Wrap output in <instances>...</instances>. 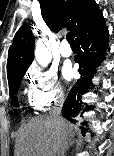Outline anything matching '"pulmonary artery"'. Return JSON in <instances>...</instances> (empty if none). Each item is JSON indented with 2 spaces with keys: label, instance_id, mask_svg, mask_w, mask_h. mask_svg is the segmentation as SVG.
I'll use <instances>...</instances> for the list:
<instances>
[{
  "label": "pulmonary artery",
  "instance_id": "obj_1",
  "mask_svg": "<svg viewBox=\"0 0 114 156\" xmlns=\"http://www.w3.org/2000/svg\"><path fill=\"white\" fill-rule=\"evenodd\" d=\"M59 52L63 57H70L73 53L70 45L66 42V40L62 41Z\"/></svg>",
  "mask_w": 114,
  "mask_h": 156
}]
</instances>
